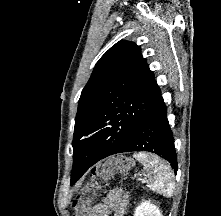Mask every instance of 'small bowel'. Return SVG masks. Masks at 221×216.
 Returning <instances> with one entry per match:
<instances>
[{"instance_id": "small-bowel-1", "label": "small bowel", "mask_w": 221, "mask_h": 216, "mask_svg": "<svg viewBox=\"0 0 221 216\" xmlns=\"http://www.w3.org/2000/svg\"><path fill=\"white\" fill-rule=\"evenodd\" d=\"M121 193L118 191L109 193L103 201L89 212L88 216H124L125 203L121 202Z\"/></svg>"}]
</instances>
